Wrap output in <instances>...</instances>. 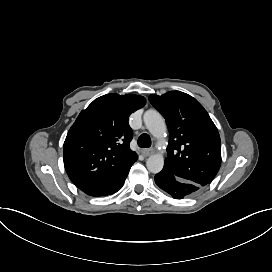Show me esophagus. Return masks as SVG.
Segmentation results:
<instances>
[{
    "label": "esophagus",
    "instance_id": "obj_1",
    "mask_svg": "<svg viewBox=\"0 0 272 272\" xmlns=\"http://www.w3.org/2000/svg\"><path fill=\"white\" fill-rule=\"evenodd\" d=\"M142 154L145 156L152 155L154 153V150L152 148H144L141 150Z\"/></svg>",
    "mask_w": 272,
    "mask_h": 272
}]
</instances>
